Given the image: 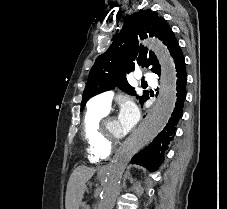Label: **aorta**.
Masks as SVG:
<instances>
[{
  "instance_id": "obj_1",
  "label": "aorta",
  "mask_w": 227,
  "mask_h": 209,
  "mask_svg": "<svg viewBox=\"0 0 227 209\" xmlns=\"http://www.w3.org/2000/svg\"><path fill=\"white\" fill-rule=\"evenodd\" d=\"M145 44L154 52L161 66L159 95L136 137L121 147L111 162L101 192L98 209H113L120 181L127 164L139 149L147 145L162 131L172 114L176 102L177 73L173 58L160 40L156 38L148 39Z\"/></svg>"
}]
</instances>
